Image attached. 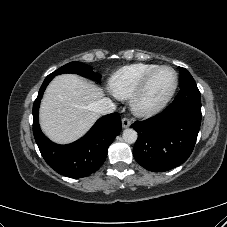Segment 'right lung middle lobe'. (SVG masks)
<instances>
[{"label":"right lung middle lobe","mask_w":227,"mask_h":227,"mask_svg":"<svg viewBox=\"0 0 227 227\" xmlns=\"http://www.w3.org/2000/svg\"><path fill=\"white\" fill-rule=\"evenodd\" d=\"M63 73H75V74H79V75L87 77V78L96 79L98 81L101 78V75L93 72L92 68L90 66H88L84 63L76 62V61L70 62V63L62 66L61 68L57 69L56 71H54L53 73H51L48 76L54 77L56 75L63 74Z\"/></svg>","instance_id":"right-lung-middle-lobe-1"}]
</instances>
